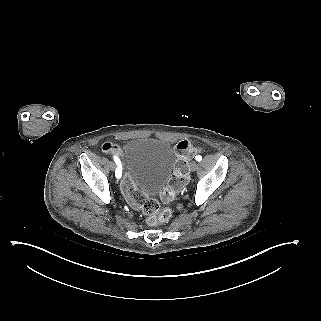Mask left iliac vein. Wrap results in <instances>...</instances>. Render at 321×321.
Segmentation results:
<instances>
[{"mask_svg":"<svg viewBox=\"0 0 321 321\" xmlns=\"http://www.w3.org/2000/svg\"><path fill=\"white\" fill-rule=\"evenodd\" d=\"M198 168V164L196 162H192L190 165L191 171H196Z\"/></svg>","mask_w":321,"mask_h":321,"instance_id":"4c4485c4","label":"left iliac vein"}]
</instances>
